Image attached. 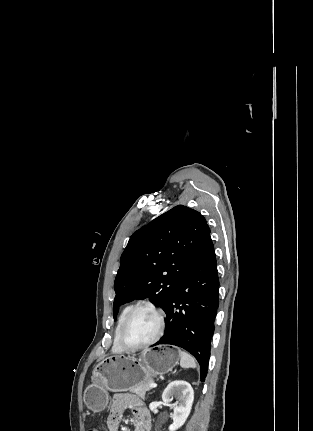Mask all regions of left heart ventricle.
<instances>
[{"label":"left heart ventricle","instance_id":"1","mask_svg":"<svg viewBox=\"0 0 313 431\" xmlns=\"http://www.w3.org/2000/svg\"><path fill=\"white\" fill-rule=\"evenodd\" d=\"M158 326L156 314L151 310L142 309L133 316L128 324L124 340L132 346L144 344L156 335Z\"/></svg>","mask_w":313,"mask_h":431}]
</instances>
